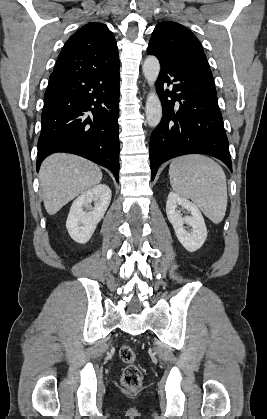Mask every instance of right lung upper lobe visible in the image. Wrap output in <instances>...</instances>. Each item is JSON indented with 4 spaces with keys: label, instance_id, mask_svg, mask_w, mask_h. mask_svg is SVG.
<instances>
[{
    "label": "right lung upper lobe",
    "instance_id": "cb5924a9",
    "mask_svg": "<svg viewBox=\"0 0 267 419\" xmlns=\"http://www.w3.org/2000/svg\"><path fill=\"white\" fill-rule=\"evenodd\" d=\"M119 63L116 40L105 24L91 22L65 43L53 73L94 71Z\"/></svg>",
    "mask_w": 267,
    "mask_h": 419
}]
</instances>
